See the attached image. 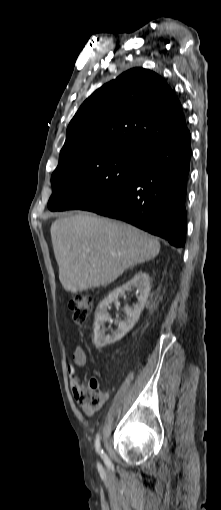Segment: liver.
<instances>
[{
  "mask_svg": "<svg viewBox=\"0 0 221 510\" xmlns=\"http://www.w3.org/2000/svg\"><path fill=\"white\" fill-rule=\"evenodd\" d=\"M50 231L59 280L74 294L106 286L160 251L158 240L147 233L95 215L59 218Z\"/></svg>",
  "mask_w": 221,
  "mask_h": 510,
  "instance_id": "liver-1",
  "label": "liver"
}]
</instances>
